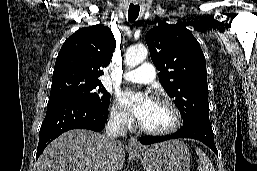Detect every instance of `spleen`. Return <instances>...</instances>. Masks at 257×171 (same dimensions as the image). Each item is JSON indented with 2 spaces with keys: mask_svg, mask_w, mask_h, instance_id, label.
I'll return each instance as SVG.
<instances>
[{
  "mask_svg": "<svg viewBox=\"0 0 257 171\" xmlns=\"http://www.w3.org/2000/svg\"><path fill=\"white\" fill-rule=\"evenodd\" d=\"M195 151L199 157L198 171H215L213 164L211 163L208 156L198 147Z\"/></svg>",
  "mask_w": 257,
  "mask_h": 171,
  "instance_id": "1",
  "label": "spleen"
}]
</instances>
